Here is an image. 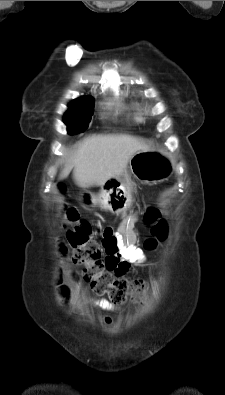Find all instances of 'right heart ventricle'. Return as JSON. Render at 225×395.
<instances>
[{
    "instance_id": "1",
    "label": "right heart ventricle",
    "mask_w": 225,
    "mask_h": 395,
    "mask_svg": "<svg viewBox=\"0 0 225 395\" xmlns=\"http://www.w3.org/2000/svg\"><path fill=\"white\" fill-rule=\"evenodd\" d=\"M116 107L122 111L126 118L132 122H141L143 120L140 104L132 99H125L120 96L115 101Z\"/></svg>"
}]
</instances>
